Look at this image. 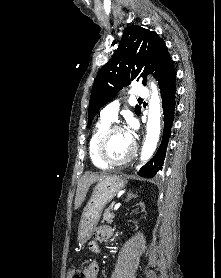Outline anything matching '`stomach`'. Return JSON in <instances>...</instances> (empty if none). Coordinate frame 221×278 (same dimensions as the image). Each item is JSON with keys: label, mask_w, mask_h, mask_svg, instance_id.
I'll use <instances>...</instances> for the list:
<instances>
[{"label": "stomach", "mask_w": 221, "mask_h": 278, "mask_svg": "<svg viewBox=\"0 0 221 278\" xmlns=\"http://www.w3.org/2000/svg\"><path fill=\"white\" fill-rule=\"evenodd\" d=\"M127 181L119 175H110L100 180L94 187L92 195L83 209L78 240L84 245L92 236L104 207L112 201L119 191L124 189Z\"/></svg>", "instance_id": "stomach-1"}]
</instances>
